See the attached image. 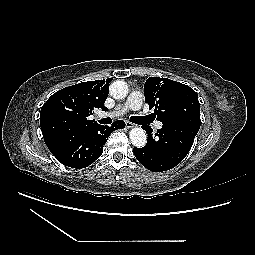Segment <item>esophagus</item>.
I'll return each instance as SVG.
<instances>
[{
  "mask_svg": "<svg viewBox=\"0 0 255 255\" xmlns=\"http://www.w3.org/2000/svg\"><path fill=\"white\" fill-rule=\"evenodd\" d=\"M125 124H126V127H127L128 129L135 127V124H134V123H131V122H129V121H127Z\"/></svg>",
  "mask_w": 255,
  "mask_h": 255,
  "instance_id": "obj_1",
  "label": "esophagus"
}]
</instances>
